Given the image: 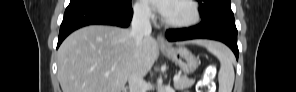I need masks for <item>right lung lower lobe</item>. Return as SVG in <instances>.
Returning a JSON list of instances; mask_svg holds the SVG:
<instances>
[{"instance_id": "right-lung-lower-lobe-1", "label": "right lung lower lobe", "mask_w": 296, "mask_h": 92, "mask_svg": "<svg viewBox=\"0 0 296 92\" xmlns=\"http://www.w3.org/2000/svg\"><path fill=\"white\" fill-rule=\"evenodd\" d=\"M131 0L116 3L111 0H70L66 8L57 48L74 30L92 24L127 27L132 19Z\"/></svg>"}]
</instances>
